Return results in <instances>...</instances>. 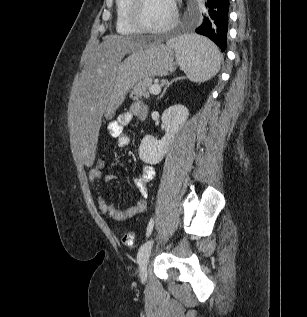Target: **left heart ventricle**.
<instances>
[{
  "label": "left heart ventricle",
  "mask_w": 307,
  "mask_h": 317,
  "mask_svg": "<svg viewBox=\"0 0 307 317\" xmlns=\"http://www.w3.org/2000/svg\"><path fill=\"white\" fill-rule=\"evenodd\" d=\"M172 16L170 0H144L140 18L149 27L159 28L165 25Z\"/></svg>",
  "instance_id": "1"
}]
</instances>
